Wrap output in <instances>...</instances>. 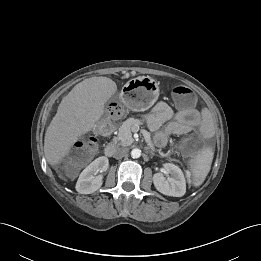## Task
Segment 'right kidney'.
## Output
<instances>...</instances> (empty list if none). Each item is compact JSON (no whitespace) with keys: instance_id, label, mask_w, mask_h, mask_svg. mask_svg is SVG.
Returning <instances> with one entry per match:
<instances>
[{"instance_id":"obj_1","label":"right kidney","mask_w":261,"mask_h":261,"mask_svg":"<svg viewBox=\"0 0 261 261\" xmlns=\"http://www.w3.org/2000/svg\"><path fill=\"white\" fill-rule=\"evenodd\" d=\"M109 167L108 158L98 157L90 163L80 174L76 183V191L80 194H91L98 190L102 185V173ZM98 174V175H97Z\"/></svg>"}]
</instances>
